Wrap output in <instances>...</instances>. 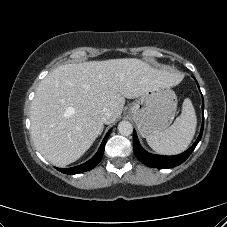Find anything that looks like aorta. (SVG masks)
I'll use <instances>...</instances> for the list:
<instances>
[{
  "label": "aorta",
  "mask_w": 227,
  "mask_h": 227,
  "mask_svg": "<svg viewBox=\"0 0 227 227\" xmlns=\"http://www.w3.org/2000/svg\"><path fill=\"white\" fill-rule=\"evenodd\" d=\"M118 131L121 135L128 136L133 132V126L129 121H121L118 124Z\"/></svg>",
  "instance_id": "obj_1"
}]
</instances>
